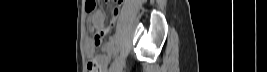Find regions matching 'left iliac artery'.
Here are the masks:
<instances>
[{
	"mask_svg": "<svg viewBox=\"0 0 267 72\" xmlns=\"http://www.w3.org/2000/svg\"><path fill=\"white\" fill-rule=\"evenodd\" d=\"M118 62H119V58L117 57V58L114 60V62L111 64V66H110V70L113 69V68H115V67L118 65Z\"/></svg>",
	"mask_w": 267,
	"mask_h": 72,
	"instance_id": "left-iliac-artery-1",
	"label": "left iliac artery"
}]
</instances>
